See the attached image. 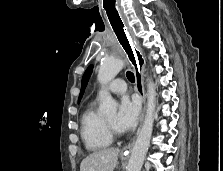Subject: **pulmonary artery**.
Returning <instances> with one entry per match:
<instances>
[{"instance_id":"1","label":"pulmonary artery","mask_w":223,"mask_h":171,"mask_svg":"<svg viewBox=\"0 0 223 171\" xmlns=\"http://www.w3.org/2000/svg\"><path fill=\"white\" fill-rule=\"evenodd\" d=\"M108 89L114 94H122L126 91V83L123 79H115L109 84Z\"/></svg>"}]
</instances>
